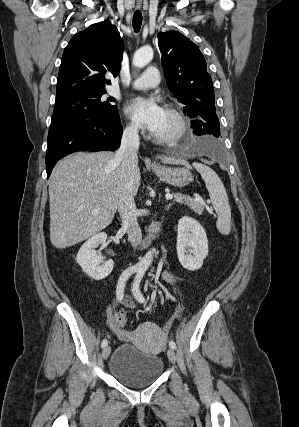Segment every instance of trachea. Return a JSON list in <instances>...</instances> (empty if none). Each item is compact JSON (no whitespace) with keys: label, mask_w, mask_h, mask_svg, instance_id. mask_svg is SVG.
<instances>
[{"label":"trachea","mask_w":299,"mask_h":427,"mask_svg":"<svg viewBox=\"0 0 299 427\" xmlns=\"http://www.w3.org/2000/svg\"><path fill=\"white\" fill-rule=\"evenodd\" d=\"M142 24V13L139 10H136L133 15L132 25L133 29L136 33L139 32Z\"/></svg>","instance_id":"trachea-1"}]
</instances>
